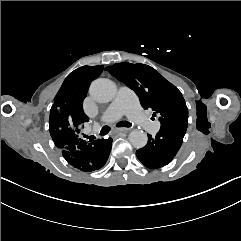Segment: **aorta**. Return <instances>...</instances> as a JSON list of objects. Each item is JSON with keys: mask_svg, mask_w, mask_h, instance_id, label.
<instances>
[{"mask_svg": "<svg viewBox=\"0 0 241 241\" xmlns=\"http://www.w3.org/2000/svg\"><path fill=\"white\" fill-rule=\"evenodd\" d=\"M117 93L116 84L106 78L94 80L90 86V95L98 102L106 103L114 99ZM148 141L147 134L142 130H133L129 134V142L135 148H143Z\"/></svg>", "mask_w": 241, "mask_h": 241, "instance_id": "762f6f07", "label": "aorta"}]
</instances>
